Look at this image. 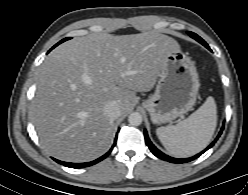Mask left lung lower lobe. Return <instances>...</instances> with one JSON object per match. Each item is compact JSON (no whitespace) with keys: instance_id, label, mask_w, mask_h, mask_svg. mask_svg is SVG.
Instances as JSON below:
<instances>
[{"instance_id":"1","label":"left lung lower lobe","mask_w":248,"mask_h":195,"mask_svg":"<svg viewBox=\"0 0 248 195\" xmlns=\"http://www.w3.org/2000/svg\"><path fill=\"white\" fill-rule=\"evenodd\" d=\"M206 48H209V46H206ZM224 129V125L222 126L217 138L205 149L203 150L201 153L199 154H196L195 156L193 157H190V158H186V159H179V158H173V157H170L166 154H164L163 152H161L160 150H158L154 144L150 141L149 137H148V134L146 132V130H144V136H145V140H146V144L147 146L150 148L151 152L157 156L158 158L162 159V160H165V161H168V162H171V163H186V162H190L196 158H198L200 155H202L205 151H207L209 148H211L214 143L216 142V140L218 139V137L221 135L222 131Z\"/></svg>"}]
</instances>
